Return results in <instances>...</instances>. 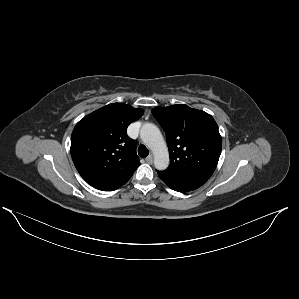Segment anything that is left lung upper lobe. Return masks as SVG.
Returning <instances> with one entry per match:
<instances>
[{
	"instance_id": "obj_1",
	"label": "left lung upper lobe",
	"mask_w": 299,
	"mask_h": 299,
	"mask_svg": "<svg viewBox=\"0 0 299 299\" xmlns=\"http://www.w3.org/2000/svg\"><path fill=\"white\" fill-rule=\"evenodd\" d=\"M152 114L167 135L170 165L162 172L175 178L209 179L222 148L213 117L184 104L158 107Z\"/></svg>"
}]
</instances>
